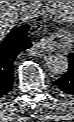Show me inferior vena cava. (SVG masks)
I'll return each mask as SVG.
<instances>
[{
    "mask_svg": "<svg viewBox=\"0 0 74 122\" xmlns=\"http://www.w3.org/2000/svg\"><path fill=\"white\" fill-rule=\"evenodd\" d=\"M37 13H38V6L35 3L26 5V6L22 7L20 10L19 20L23 21V22L28 21V20L36 17Z\"/></svg>",
    "mask_w": 74,
    "mask_h": 122,
    "instance_id": "1",
    "label": "inferior vena cava"
}]
</instances>
